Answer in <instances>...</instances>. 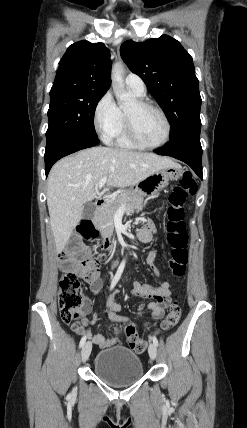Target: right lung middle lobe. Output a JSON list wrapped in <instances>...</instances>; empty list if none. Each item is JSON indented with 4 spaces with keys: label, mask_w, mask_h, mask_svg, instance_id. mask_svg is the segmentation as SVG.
<instances>
[{
    "label": "right lung middle lobe",
    "mask_w": 247,
    "mask_h": 428,
    "mask_svg": "<svg viewBox=\"0 0 247 428\" xmlns=\"http://www.w3.org/2000/svg\"><path fill=\"white\" fill-rule=\"evenodd\" d=\"M105 92L65 90L50 93L49 126L46 138L59 134H73L97 138L94 113Z\"/></svg>",
    "instance_id": "obj_1"
}]
</instances>
